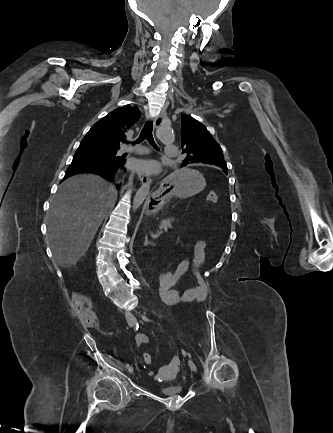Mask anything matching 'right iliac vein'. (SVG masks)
Segmentation results:
<instances>
[{
  "instance_id": "1",
  "label": "right iliac vein",
  "mask_w": 333,
  "mask_h": 433,
  "mask_svg": "<svg viewBox=\"0 0 333 433\" xmlns=\"http://www.w3.org/2000/svg\"><path fill=\"white\" fill-rule=\"evenodd\" d=\"M128 371H129V373H133V368L130 367V368L128 369Z\"/></svg>"
}]
</instances>
